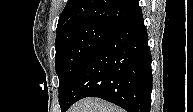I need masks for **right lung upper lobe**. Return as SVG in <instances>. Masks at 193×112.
Instances as JSON below:
<instances>
[{
	"label": "right lung upper lobe",
	"mask_w": 193,
	"mask_h": 112,
	"mask_svg": "<svg viewBox=\"0 0 193 112\" xmlns=\"http://www.w3.org/2000/svg\"><path fill=\"white\" fill-rule=\"evenodd\" d=\"M142 13L138 0H68L56 33L81 25L115 31Z\"/></svg>",
	"instance_id": "cb5924a9"
}]
</instances>
